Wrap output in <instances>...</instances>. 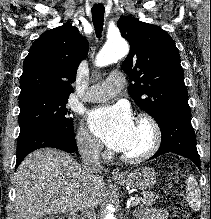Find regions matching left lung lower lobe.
Here are the masks:
<instances>
[{
	"label": "left lung lower lobe",
	"instance_id": "0a47b994",
	"mask_svg": "<svg viewBox=\"0 0 211 219\" xmlns=\"http://www.w3.org/2000/svg\"><path fill=\"white\" fill-rule=\"evenodd\" d=\"M157 123L162 134L161 145L150 159L172 152L192 160L201 169L196 136L191 126L190 108L169 109Z\"/></svg>",
	"mask_w": 211,
	"mask_h": 219
}]
</instances>
